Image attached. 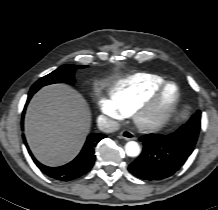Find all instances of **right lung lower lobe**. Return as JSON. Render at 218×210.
Here are the masks:
<instances>
[{
	"instance_id": "obj_1",
	"label": "right lung lower lobe",
	"mask_w": 218,
	"mask_h": 210,
	"mask_svg": "<svg viewBox=\"0 0 218 210\" xmlns=\"http://www.w3.org/2000/svg\"><path fill=\"white\" fill-rule=\"evenodd\" d=\"M33 92H29L27 103L33 96ZM105 137L104 134H91L87 137L86 143L80 154L70 163L60 167H48L38 162L29 151L33 161L37 167L51 178L69 181L86 174L94 165L95 162V147L98 142Z\"/></svg>"
}]
</instances>
